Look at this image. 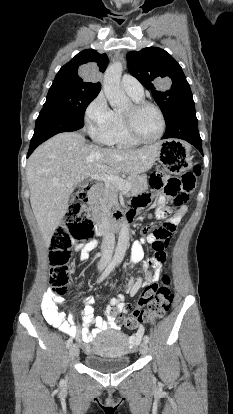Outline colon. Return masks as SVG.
<instances>
[{
    "instance_id": "obj_1",
    "label": "colon",
    "mask_w": 233,
    "mask_h": 414,
    "mask_svg": "<svg viewBox=\"0 0 233 414\" xmlns=\"http://www.w3.org/2000/svg\"><path fill=\"white\" fill-rule=\"evenodd\" d=\"M201 174V167L195 164L192 170L184 173L181 178L154 173L149 178V185L154 190L163 189L166 195L174 198V205H184L196 185V179ZM87 197V190L82 188L77 192L78 201L74 202L66 215L64 224L59 227L51 240L49 257L50 288L52 292L62 297L67 291V285L72 273L71 247L74 242H86L93 235V223L89 219L82 198ZM175 230V226L165 224L154 230L151 243L154 250L147 265L154 269L165 260V248ZM173 301L170 288V277L164 275L162 284H152L144 288L138 299L136 308L127 304L123 314L115 316L116 326L129 331L137 330L143 323H153L162 318L169 310Z\"/></svg>"
}]
</instances>
